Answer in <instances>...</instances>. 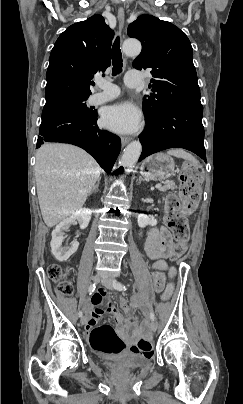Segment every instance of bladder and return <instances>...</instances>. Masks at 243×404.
Returning <instances> with one entry per match:
<instances>
[{"label": "bladder", "mask_w": 243, "mask_h": 404, "mask_svg": "<svg viewBox=\"0 0 243 404\" xmlns=\"http://www.w3.org/2000/svg\"><path fill=\"white\" fill-rule=\"evenodd\" d=\"M149 361V357L136 353H130L119 359L104 360L102 364L110 371L126 373L146 366Z\"/></svg>", "instance_id": "obj_1"}]
</instances>
